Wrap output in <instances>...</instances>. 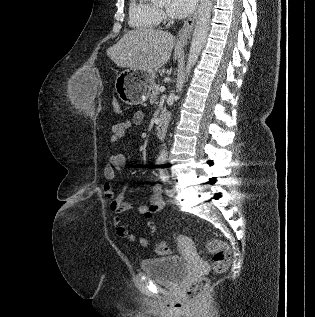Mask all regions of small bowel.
I'll list each match as a JSON object with an SVG mask.
<instances>
[{
    "instance_id": "1",
    "label": "small bowel",
    "mask_w": 315,
    "mask_h": 317,
    "mask_svg": "<svg viewBox=\"0 0 315 317\" xmlns=\"http://www.w3.org/2000/svg\"><path fill=\"white\" fill-rule=\"evenodd\" d=\"M144 120V114L141 111L135 112L131 118L121 120L112 126V133L109 139L110 145L114 146L121 139L127 130L139 126ZM126 165V157L123 153L117 152L112 154L104 166L105 181L102 185V191L105 198L109 201L110 210L113 214V225L119 238L135 242L136 236L122 222L120 215L133 208L131 202L126 201L125 197L129 190L126 183L119 194L114 192V181L117 172L121 171ZM165 207V201L162 197V188L159 184L151 185L150 205L139 204L137 211L146 219V225L151 235L156 233V226L152 221L155 213L161 211ZM139 243L142 247L148 245V239L141 237Z\"/></svg>"
}]
</instances>
